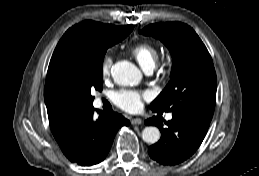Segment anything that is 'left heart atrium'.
<instances>
[{"label": "left heart atrium", "instance_id": "1", "mask_svg": "<svg viewBox=\"0 0 259 176\" xmlns=\"http://www.w3.org/2000/svg\"><path fill=\"white\" fill-rule=\"evenodd\" d=\"M142 94L135 90H120L113 94V102L122 110L136 112L142 107Z\"/></svg>", "mask_w": 259, "mask_h": 176}]
</instances>
